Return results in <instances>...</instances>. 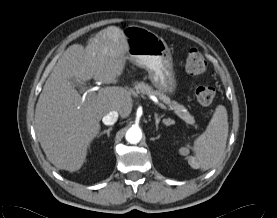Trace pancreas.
I'll return each mask as SVG.
<instances>
[{"label": "pancreas", "instance_id": "cf45deb5", "mask_svg": "<svg viewBox=\"0 0 277 218\" xmlns=\"http://www.w3.org/2000/svg\"><path fill=\"white\" fill-rule=\"evenodd\" d=\"M133 89L135 90V92L137 94L141 93V94L148 95V96L154 95V96L158 97L162 102L169 105L170 109L174 110V112L184 122L197 127L195 125L194 117L190 115V113L186 110V108L183 105H180L175 101H171L170 98L168 96H166L165 94H163L162 92L153 90V88L151 86H149L148 84H145L144 82H136L134 84Z\"/></svg>", "mask_w": 277, "mask_h": 218}]
</instances>
